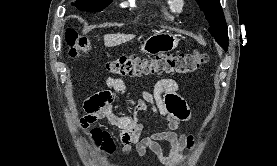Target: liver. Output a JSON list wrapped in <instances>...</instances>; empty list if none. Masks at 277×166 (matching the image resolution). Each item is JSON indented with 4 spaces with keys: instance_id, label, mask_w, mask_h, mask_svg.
Returning a JSON list of instances; mask_svg holds the SVG:
<instances>
[{
    "instance_id": "liver-1",
    "label": "liver",
    "mask_w": 277,
    "mask_h": 166,
    "mask_svg": "<svg viewBox=\"0 0 277 166\" xmlns=\"http://www.w3.org/2000/svg\"><path fill=\"white\" fill-rule=\"evenodd\" d=\"M135 36L131 34H106L104 35V44L106 47H113L132 40Z\"/></svg>"
}]
</instances>
